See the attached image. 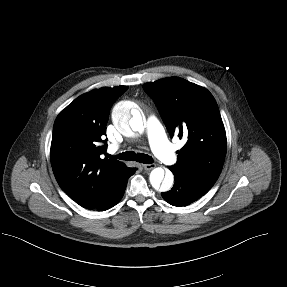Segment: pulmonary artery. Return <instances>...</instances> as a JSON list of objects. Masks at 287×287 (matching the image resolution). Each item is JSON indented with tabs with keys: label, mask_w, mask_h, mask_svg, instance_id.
I'll return each mask as SVG.
<instances>
[{
	"label": "pulmonary artery",
	"mask_w": 287,
	"mask_h": 287,
	"mask_svg": "<svg viewBox=\"0 0 287 287\" xmlns=\"http://www.w3.org/2000/svg\"><path fill=\"white\" fill-rule=\"evenodd\" d=\"M147 135L154 153L166 164L172 165L177 161L176 154L168 142L159 121L151 116L147 120Z\"/></svg>",
	"instance_id": "1"
}]
</instances>
